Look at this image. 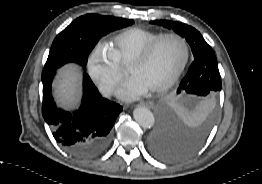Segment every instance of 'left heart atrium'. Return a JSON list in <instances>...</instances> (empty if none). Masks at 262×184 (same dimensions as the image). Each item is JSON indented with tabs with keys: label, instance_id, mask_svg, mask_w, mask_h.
<instances>
[{
	"label": "left heart atrium",
	"instance_id": "39dd6f15",
	"mask_svg": "<svg viewBox=\"0 0 262 184\" xmlns=\"http://www.w3.org/2000/svg\"><path fill=\"white\" fill-rule=\"evenodd\" d=\"M149 89L137 78L132 77L117 92V96L125 101H130L144 95Z\"/></svg>",
	"mask_w": 262,
	"mask_h": 184
}]
</instances>
